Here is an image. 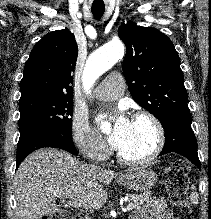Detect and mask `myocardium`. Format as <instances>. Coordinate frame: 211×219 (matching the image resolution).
Returning <instances> with one entry per match:
<instances>
[{
    "mask_svg": "<svg viewBox=\"0 0 211 219\" xmlns=\"http://www.w3.org/2000/svg\"><path fill=\"white\" fill-rule=\"evenodd\" d=\"M147 120L155 131V144L152 150L139 158H129L117 151L116 156L119 162L128 166H139L155 160L162 152L165 145V130L160 120L151 112L139 111L133 115V121Z\"/></svg>",
    "mask_w": 211,
    "mask_h": 219,
    "instance_id": "obj_1",
    "label": "myocardium"
}]
</instances>
